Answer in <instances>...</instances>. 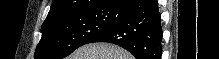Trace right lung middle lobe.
Here are the masks:
<instances>
[{"label":"right lung middle lobe","instance_id":"1","mask_svg":"<svg viewBox=\"0 0 219 59\" xmlns=\"http://www.w3.org/2000/svg\"><path fill=\"white\" fill-rule=\"evenodd\" d=\"M117 21L113 8L69 15L44 22L35 59H63Z\"/></svg>","mask_w":219,"mask_h":59}]
</instances>
